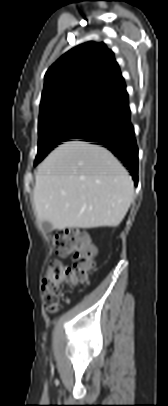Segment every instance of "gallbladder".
Masks as SVG:
<instances>
[{"mask_svg": "<svg viewBox=\"0 0 168 406\" xmlns=\"http://www.w3.org/2000/svg\"><path fill=\"white\" fill-rule=\"evenodd\" d=\"M42 227H43V230L46 232H50L53 229L52 225L47 221L42 222Z\"/></svg>", "mask_w": 168, "mask_h": 406, "instance_id": "1", "label": "gallbladder"}]
</instances>
